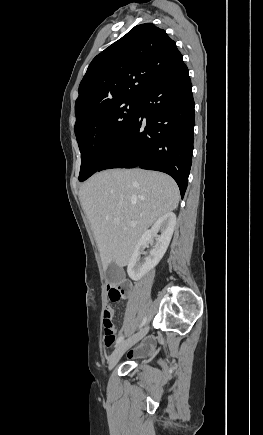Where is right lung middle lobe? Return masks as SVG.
<instances>
[{"label": "right lung middle lobe", "instance_id": "right-lung-middle-lobe-1", "mask_svg": "<svg viewBox=\"0 0 263 435\" xmlns=\"http://www.w3.org/2000/svg\"><path fill=\"white\" fill-rule=\"evenodd\" d=\"M140 104L141 99L114 102L75 128L81 152L79 181L93 175L109 158L132 126Z\"/></svg>", "mask_w": 263, "mask_h": 435}]
</instances>
